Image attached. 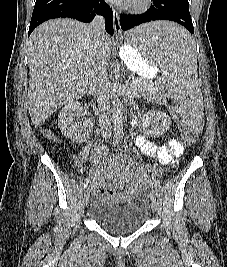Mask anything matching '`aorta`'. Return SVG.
Listing matches in <instances>:
<instances>
[{
  "label": "aorta",
  "instance_id": "762f6f07",
  "mask_svg": "<svg viewBox=\"0 0 227 267\" xmlns=\"http://www.w3.org/2000/svg\"><path fill=\"white\" fill-rule=\"evenodd\" d=\"M113 105H112V119L115 127L122 125V107L119 99V94L117 91L113 93Z\"/></svg>",
  "mask_w": 227,
  "mask_h": 267
}]
</instances>
